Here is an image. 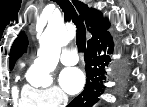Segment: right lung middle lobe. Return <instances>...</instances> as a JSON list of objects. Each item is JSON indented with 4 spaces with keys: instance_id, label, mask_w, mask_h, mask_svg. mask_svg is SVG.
<instances>
[{
    "instance_id": "right-lung-middle-lobe-1",
    "label": "right lung middle lobe",
    "mask_w": 147,
    "mask_h": 107,
    "mask_svg": "<svg viewBox=\"0 0 147 107\" xmlns=\"http://www.w3.org/2000/svg\"><path fill=\"white\" fill-rule=\"evenodd\" d=\"M12 69H13V66L10 67V70H12Z\"/></svg>"
}]
</instances>
